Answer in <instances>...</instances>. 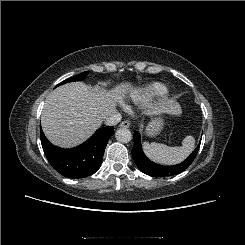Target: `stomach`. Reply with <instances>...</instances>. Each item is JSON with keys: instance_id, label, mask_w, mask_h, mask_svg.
<instances>
[{"instance_id": "stomach-1", "label": "stomach", "mask_w": 245, "mask_h": 245, "mask_svg": "<svg viewBox=\"0 0 245 245\" xmlns=\"http://www.w3.org/2000/svg\"><path fill=\"white\" fill-rule=\"evenodd\" d=\"M164 126V122L161 118L153 119L146 127V134L148 136L158 135Z\"/></svg>"}]
</instances>
